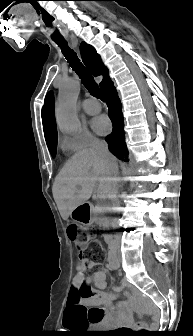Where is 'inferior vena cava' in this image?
Here are the masks:
<instances>
[{
  "instance_id": "obj_1",
  "label": "inferior vena cava",
  "mask_w": 193,
  "mask_h": 336,
  "mask_svg": "<svg viewBox=\"0 0 193 336\" xmlns=\"http://www.w3.org/2000/svg\"><path fill=\"white\" fill-rule=\"evenodd\" d=\"M93 148L97 153H99L102 156V162H104V165H108V170H112L113 177L109 178V194L108 198L111 200V204L114 207L119 206V199H118V189H117V181L118 178L116 175L119 173L120 170V163L119 162H113V159L111 158V154L108 150V145L104 141L96 140L93 143Z\"/></svg>"
}]
</instances>
